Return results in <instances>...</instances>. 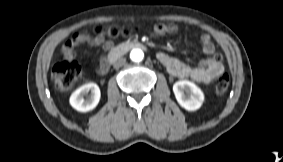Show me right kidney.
Wrapping results in <instances>:
<instances>
[{
    "label": "right kidney",
    "instance_id": "right-kidney-1",
    "mask_svg": "<svg viewBox=\"0 0 283 162\" xmlns=\"http://www.w3.org/2000/svg\"><path fill=\"white\" fill-rule=\"evenodd\" d=\"M90 93V95H88ZM86 97V99L84 98ZM100 89L96 83H87L75 90L70 96L71 106L79 112L93 110L99 103Z\"/></svg>",
    "mask_w": 283,
    "mask_h": 162
}]
</instances>
